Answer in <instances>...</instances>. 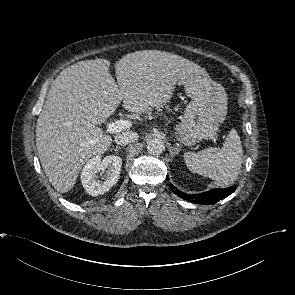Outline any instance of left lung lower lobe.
<instances>
[{"label": "left lung lower lobe", "mask_w": 295, "mask_h": 295, "mask_svg": "<svg viewBox=\"0 0 295 295\" xmlns=\"http://www.w3.org/2000/svg\"><path fill=\"white\" fill-rule=\"evenodd\" d=\"M236 188L237 186H233L225 189H213L204 193L189 195L179 191L178 189H175L173 186L171 187L172 191L179 197L203 205H212L219 200L226 198L232 194Z\"/></svg>", "instance_id": "obj_1"}]
</instances>
